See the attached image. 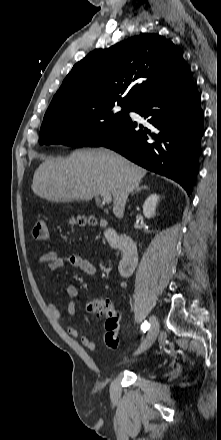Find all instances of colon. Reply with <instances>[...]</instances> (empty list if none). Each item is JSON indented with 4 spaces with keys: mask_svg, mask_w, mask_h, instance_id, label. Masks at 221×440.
I'll use <instances>...</instances> for the list:
<instances>
[{
    "mask_svg": "<svg viewBox=\"0 0 221 440\" xmlns=\"http://www.w3.org/2000/svg\"><path fill=\"white\" fill-rule=\"evenodd\" d=\"M73 224L79 226L94 225L97 221L93 217L78 216L71 219ZM33 237L38 242H47L49 239L48 222L44 219L38 220L33 228ZM85 310L89 314L103 315L105 320L104 340L111 349L119 345L120 313L107 300H89L85 302Z\"/></svg>",
    "mask_w": 221,
    "mask_h": 440,
    "instance_id": "5ec220e1",
    "label": "colon"
}]
</instances>
